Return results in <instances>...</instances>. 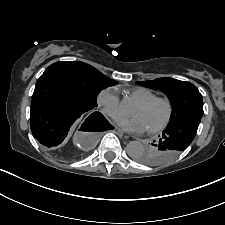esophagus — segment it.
<instances>
[{"label": "esophagus", "mask_w": 225, "mask_h": 225, "mask_svg": "<svg viewBox=\"0 0 225 225\" xmlns=\"http://www.w3.org/2000/svg\"><path fill=\"white\" fill-rule=\"evenodd\" d=\"M113 131H114V133H116V134H118L120 136H124V132L121 129L117 128V127H115Z\"/></svg>", "instance_id": "esophagus-1"}]
</instances>
